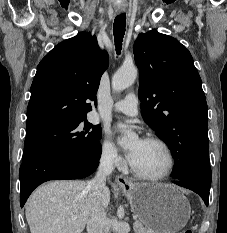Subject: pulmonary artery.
Listing matches in <instances>:
<instances>
[{
	"mask_svg": "<svg viewBox=\"0 0 227 233\" xmlns=\"http://www.w3.org/2000/svg\"><path fill=\"white\" fill-rule=\"evenodd\" d=\"M113 110L130 117H136L138 115L137 96L134 93L127 94L123 100L114 104Z\"/></svg>",
	"mask_w": 227,
	"mask_h": 233,
	"instance_id": "pulmonary-artery-1",
	"label": "pulmonary artery"
}]
</instances>
